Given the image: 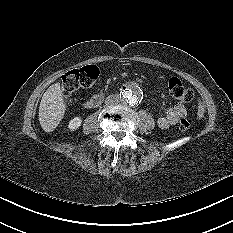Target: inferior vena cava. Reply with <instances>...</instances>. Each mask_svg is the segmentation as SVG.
Wrapping results in <instances>:
<instances>
[{"mask_svg":"<svg viewBox=\"0 0 233 233\" xmlns=\"http://www.w3.org/2000/svg\"><path fill=\"white\" fill-rule=\"evenodd\" d=\"M119 103H120V97L118 95H110L105 100V104L110 106L117 105Z\"/></svg>","mask_w":233,"mask_h":233,"instance_id":"602c4592","label":"inferior vena cava"}]
</instances>
